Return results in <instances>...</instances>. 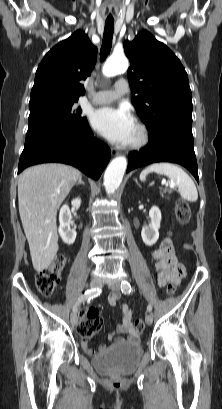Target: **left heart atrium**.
Returning <instances> with one entry per match:
<instances>
[{
	"instance_id": "1",
	"label": "left heart atrium",
	"mask_w": 222,
	"mask_h": 409,
	"mask_svg": "<svg viewBox=\"0 0 222 409\" xmlns=\"http://www.w3.org/2000/svg\"><path fill=\"white\" fill-rule=\"evenodd\" d=\"M90 121L96 131L118 145H128L136 128L133 116L125 107L100 108L92 113Z\"/></svg>"
}]
</instances>
